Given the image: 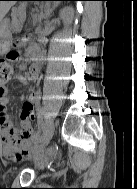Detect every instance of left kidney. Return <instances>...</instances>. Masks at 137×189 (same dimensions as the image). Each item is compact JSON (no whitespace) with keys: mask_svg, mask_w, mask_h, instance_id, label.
I'll return each instance as SVG.
<instances>
[{"mask_svg":"<svg viewBox=\"0 0 137 189\" xmlns=\"http://www.w3.org/2000/svg\"><path fill=\"white\" fill-rule=\"evenodd\" d=\"M67 14H68V11L66 9H63L60 11V17L64 20V22L67 21Z\"/></svg>","mask_w":137,"mask_h":189,"instance_id":"5707ae66","label":"left kidney"}]
</instances>
